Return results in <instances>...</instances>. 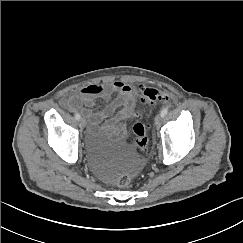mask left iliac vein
<instances>
[{
	"label": "left iliac vein",
	"instance_id": "1",
	"mask_svg": "<svg viewBox=\"0 0 243 243\" xmlns=\"http://www.w3.org/2000/svg\"><path fill=\"white\" fill-rule=\"evenodd\" d=\"M162 115L161 114H158V115H156V117H155V125H156V127H159L160 126V124H161V122H162Z\"/></svg>",
	"mask_w": 243,
	"mask_h": 243
}]
</instances>
